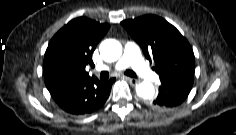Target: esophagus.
Masks as SVG:
<instances>
[{"label":"esophagus","instance_id":"1","mask_svg":"<svg viewBox=\"0 0 236 135\" xmlns=\"http://www.w3.org/2000/svg\"><path fill=\"white\" fill-rule=\"evenodd\" d=\"M131 85H136L138 83V80L135 78H130V77H124Z\"/></svg>","mask_w":236,"mask_h":135}]
</instances>
